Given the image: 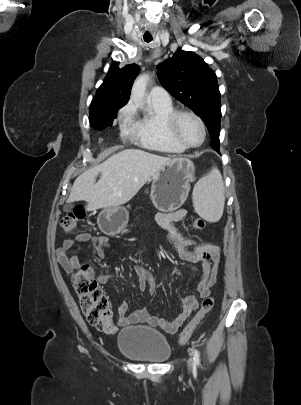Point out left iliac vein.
<instances>
[{"instance_id": "obj_1", "label": "left iliac vein", "mask_w": 301, "mask_h": 405, "mask_svg": "<svg viewBox=\"0 0 301 405\" xmlns=\"http://www.w3.org/2000/svg\"><path fill=\"white\" fill-rule=\"evenodd\" d=\"M192 364H193V360H192V358L190 357L189 360H188V366H189V368L192 366Z\"/></svg>"}]
</instances>
